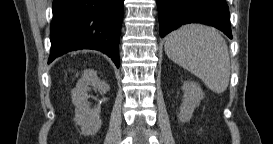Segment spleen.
Returning a JSON list of instances; mask_svg holds the SVG:
<instances>
[{"mask_svg": "<svg viewBox=\"0 0 273 144\" xmlns=\"http://www.w3.org/2000/svg\"><path fill=\"white\" fill-rule=\"evenodd\" d=\"M169 59L188 70L215 93L229 84L230 59L224 38L213 28L189 24L171 32L165 42Z\"/></svg>", "mask_w": 273, "mask_h": 144, "instance_id": "obj_1", "label": "spleen"}]
</instances>
